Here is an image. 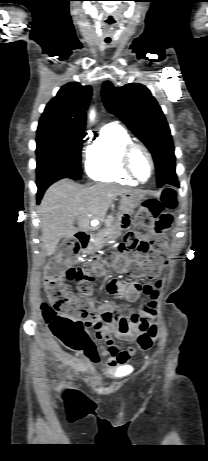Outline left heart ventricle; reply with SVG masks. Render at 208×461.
Segmentation results:
<instances>
[{
    "instance_id": "left-heart-ventricle-1",
    "label": "left heart ventricle",
    "mask_w": 208,
    "mask_h": 461,
    "mask_svg": "<svg viewBox=\"0 0 208 461\" xmlns=\"http://www.w3.org/2000/svg\"><path fill=\"white\" fill-rule=\"evenodd\" d=\"M132 166L135 173L141 179H146L150 174V163L146 155L141 152L137 151L133 155L132 158Z\"/></svg>"
}]
</instances>
